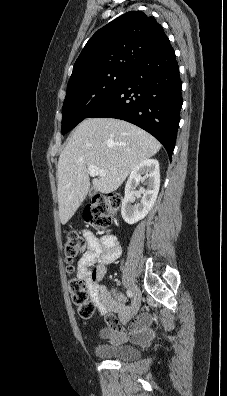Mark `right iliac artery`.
<instances>
[{
    "instance_id": "obj_1",
    "label": "right iliac artery",
    "mask_w": 227,
    "mask_h": 396,
    "mask_svg": "<svg viewBox=\"0 0 227 396\" xmlns=\"http://www.w3.org/2000/svg\"><path fill=\"white\" fill-rule=\"evenodd\" d=\"M127 296L129 297V298H131L132 297V292L130 291V290H127Z\"/></svg>"
}]
</instances>
